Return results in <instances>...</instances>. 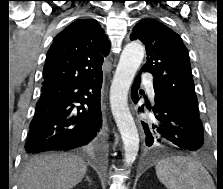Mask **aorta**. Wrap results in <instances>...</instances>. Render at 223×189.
<instances>
[{
    "label": "aorta",
    "mask_w": 223,
    "mask_h": 189,
    "mask_svg": "<svg viewBox=\"0 0 223 189\" xmlns=\"http://www.w3.org/2000/svg\"><path fill=\"white\" fill-rule=\"evenodd\" d=\"M144 54L145 49L139 42L128 43L122 51L110 88L111 110L122 137L126 166L134 163L139 151V134L128 107V91Z\"/></svg>",
    "instance_id": "obj_1"
}]
</instances>
